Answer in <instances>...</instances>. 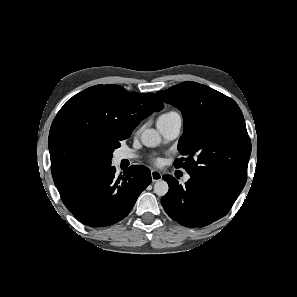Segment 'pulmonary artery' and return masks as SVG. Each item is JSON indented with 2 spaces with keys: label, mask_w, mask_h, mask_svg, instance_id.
Wrapping results in <instances>:
<instances>
[{
  "label": "pulmonary artery",
  "mask_w": 297,
  "mask_h": 297,
  "mask_svg": "<svg viewBox=\"0 0 297 297\" xmlns=\"http://www.w3.org/2000/svg\"><path fill=\"white\" fill-rule=\"evenodd\" d=\"M158 128L167 141L174 140L181 132L182 119L180 116L159 119ZM135 157L136 156L131 153L123 152L119 154L118 159L132 160ZM189 178V175H186L184 179L187 181Z\"/></svg>",
  "instance_id": "e3ab8cb5"
}]
</instances>
